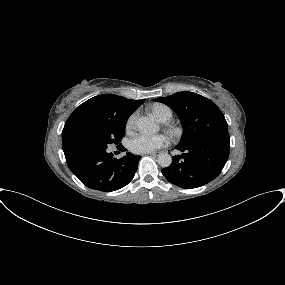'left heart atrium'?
<instances>
[{
  "label": "left heart atrium",
  "mask_w": 285,
  "mask_h": 285,
  "mask_svg": "<svg viewBox=\"0 0 285 285\" xmlns=\"http://www.w3.org/2000/svg\"><path fill=\"white\" fill-rule=\"evenodd\" d=\"M167 143L168 139L164 135H149L142 133L131 140L130 150L134 153H151Z\"/></svg>",
  "instance_id": "39dd6f15"
}]
</instances>
